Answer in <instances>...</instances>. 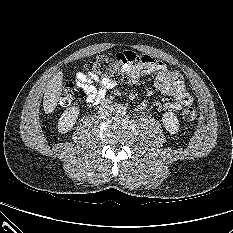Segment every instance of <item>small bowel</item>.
<instances>
[{
  "label": "small bowel",
  "mask_w": 233,
  "mask_h": 233,
  "mask_svg": "<svg viewBox=\"0 0 233 233\" xmlns=\"http://www.w3.org/2000/svg\"><path fill=\"white\" fill-rule=\"evenodd\" d=\"M123 60L132 63L131 71L133 74L130 83H137L146 74L156 73L155 87L162 94L171 96L173 101L163 105L164 110H180L192 104L193 99L185 87L182 76L174 70H170L167 65L149 55H139L134 52H123L117 55ZM76 85L80 87L85 95L88 104L97 105L106 96L107 92L116 86V81L106 77H99L93 72H78L75 76ZM142 103L138 109H144Z\"/></svg>",
  "instance_id": "obj_1"
}]
</instances>
